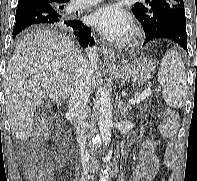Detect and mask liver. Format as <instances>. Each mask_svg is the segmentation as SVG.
I'll use <instances>...</instances> for the list:
<instances>
[{"label":"liver","mask_w":197,"mask_h":181,"mask_svg":"<svg viewBox=\"0 0 197 181\" xmlns=\"http://www.w3.org/2000/svg\"><path fill=\"white\" fill-rule=\"evenodd\" d=\"M82 58L69 37L53 30L32 32L17 44L4 86L6 112L17 139L29 138L34 113L45 97L59 100L70 96ZM98 79L95 68L91 87L97 86Z\"/></svg>","instance_id":"1"}]
</instances>
